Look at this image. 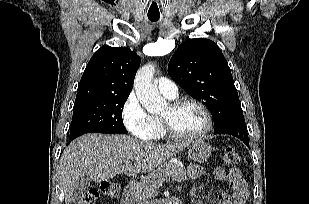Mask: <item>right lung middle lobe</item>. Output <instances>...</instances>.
Returning <instances> with one entry per match:
<instances>
[{
  "label": "right lung middle lobe",
  "mask_w": 309,
  "mask_h": 204,
  "mask_svg": "<svg viewBox=\"0 0 309 204\" xmlns=\"http://www.w3.org/2000/svg\"><path fill=\"white\" fill-rule=\"evenodd\" d=\"M128 96H105L74 104L70 139L89 132L127 133L122 109Z\"/></svg>",
  "instance_id": "dd1d6c3e"
}]
</instances>
